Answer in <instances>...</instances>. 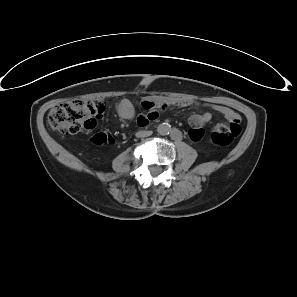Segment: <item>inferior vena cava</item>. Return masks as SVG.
I'll return each instance as SVG.
<instances>
[{"instance_id":"602c4592","label":"inferior vena cava","mask_w":297,"mask_h":297,"mask_svg":"<svg viewBox=\"0 0 297 297\" xmlns=\"http://www.w3.org/2000/svg\"><path fill=\"white\" fill-rule=\"evenodd\" d=\"M152 134V131H146V130H140L136 133V137L141 138V137H147Z\"/></svg>"}]
</instances>
